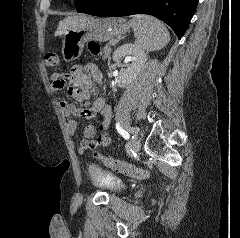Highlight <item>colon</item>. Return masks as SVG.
Masks as SVG:
<instances>
[{"label": "colon", "mask_w": 240, "mask_h": 238, "mask_svg": "<svg viewBox=\"0 0 240 238\" xmlns=\"http://www.w3.org/2000/svg\"><path fill=\"white\" fill-rule=\"evenodd\" d=\"M88 49L94 55L99 54L100 45L95 41H90L88 43ZM59 62V56L56 53L50 52L45 54L44 63L47 67H54ZM94 157L100 160L105 166L119 172L121 174L127 175L133 178H146L149 176V172L143 168L129 164L111 157L103 156L99 152L95 151Z\"/></svg>", "instance_id": "obj_1"}]
</instances>
